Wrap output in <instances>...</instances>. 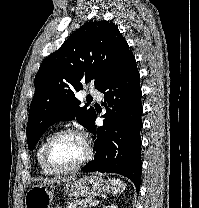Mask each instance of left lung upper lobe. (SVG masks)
Returning a JSON list of instances; mask_svg holds the SVG:
<instances>
[{
  "label": "left lung upper lobe",
  "mask_w": 199,
  "mask_h": 208,
  "mask_svg": "<svg viewBox=\"0 0 199 208\" xmlns=\"http://www.w3.org/2000/svg\"><path fill=\"white\" fill-rule=\"evenodd\" d=\"M133 53L117 26L107 21L87 22L48 56L35 76V93L26 128L33 149L54 123L74 120L90 129L93 108L81 107L75 93L88 82L99 89Z\"/></svg>",
  "instance_id": "5c2ea615"
}]
</instances>
